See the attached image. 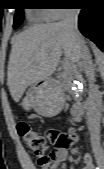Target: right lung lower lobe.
<instances>
[{
    "label": "right lung lower lobe",
    "instance_id": "obj_1",
    "mask_svg": "<svg viewBox=\"0 0 104 169\" xmlns=\"http://www.w3.org/2000/svg\"><path fill=\"white\" fill-rule=\"evenodd\" d=\"M79 15L78 28L81 33L93 41L101 50L104 48L102 27L103 8L100 0H84Z\"/></svg>",
    "mask_w": 104,
    "mask_h": 169
}]
</instances>
